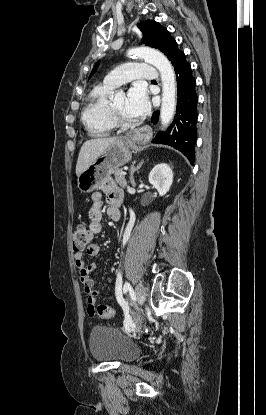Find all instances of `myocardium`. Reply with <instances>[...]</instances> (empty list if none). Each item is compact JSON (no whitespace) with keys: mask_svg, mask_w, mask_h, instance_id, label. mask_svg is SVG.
<instances>
[{"mask_svg":"<svg viewBox=\"0 0 266 415\" xmlns=\"http://www.w3.org/2000/svg\"><path fill=\"white\" fill-rule=\"evenodd\" d=\"M110 108L112 112V116L114 121L117 125L121 127H133L137 125V121L135 120H128L126 119L114 106L113 102H110Z\"/></svg>","mask_w":266,"mask_h":415,"instance_id":"myocardium-1","label":"myocardium"}]
</instances>
